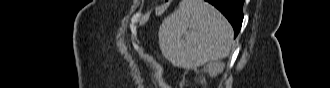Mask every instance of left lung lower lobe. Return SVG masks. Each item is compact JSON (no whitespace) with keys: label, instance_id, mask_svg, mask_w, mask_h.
Returning <instances> with one entry per match:
<instances>
[{"label":"left lung lower lobe","instance_id":"0a47b994","mask_svg":"<svg viewBox=\"0 0 330 88\" xmlns=\"http://www.w3.org/2000/svg\"><path fill=\"white\" fill-rule=\"evenodd\" d=\"M167 1V0H166ZM215 6L228 19L234 29L236 37L243 21L242 7L244 0H205Z\"/></svg>","mask_w":330,"mask_h":88}]
</instances>
